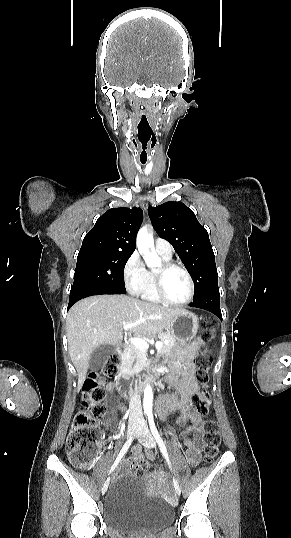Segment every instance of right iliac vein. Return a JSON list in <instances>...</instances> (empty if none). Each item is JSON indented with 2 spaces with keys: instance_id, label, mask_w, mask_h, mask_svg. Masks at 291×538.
Wrapping results in <instances>:
<instances>
[{
  "instance_id": "obj_1",
  "label": "right iliac vein",
  "mask_w": 291,
  "mask_h": 538,
  "mask_svg": "<svg viewBox=\"0 0 291 538\" xmlns=\"http://www.w3.org/2000/svg\"><path fill=\"white\" fill-rule=\"evenodd\" d=\"M137 428H138V422L136 420H133L128 424V429H127V438L128 439L133 437V435L135 434ZM108 486H109V479H107L105 481V483L103 484L102 494H104L107 491Z\"/></svg>"
}]
</instances>
